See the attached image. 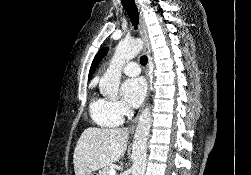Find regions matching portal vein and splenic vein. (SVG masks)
I'll use <instances>...</instances> for the list:
<instances>
[{
  "mask_svg": "<svg viewBox=\"0 0 251 175\" xmlns=\"http://www.w3.org/2000/svg\"><path fill=\"white\" fill-rule=\"evenodd\" d=\"M109 175H116V169H110Z\"/></svg>",
  "mask_w": 251,
  "mask_h": 175,
  "instance_id": "18ae733b",
  "label": "portal vein and splenic vein"
}]
</instances>
